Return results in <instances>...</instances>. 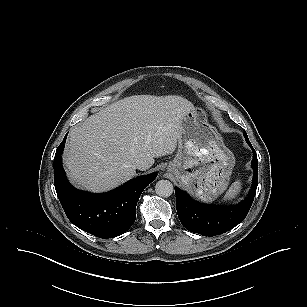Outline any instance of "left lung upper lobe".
<instances>
[{"mask_svg":"<svg viewBox=\"0 0 307 307\" xmlns=\"http://www.w3.org/2000/svg\"><path fill=\"white\" fill-rule=\"evenodd\" d=\"M244 136H245L246 141L249 142L246 132H244Z\"/></svg>","mask_w":307,"mask_h":307,"instance_id":"5c2ea615","label":"left lung upper lobe"}]
</instances>
